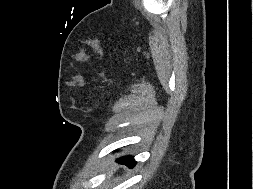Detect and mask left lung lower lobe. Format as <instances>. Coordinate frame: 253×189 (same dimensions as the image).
<instances>
[{"label":"left lung lower lobe","mask_w":253,"mask_h":189,"mask_svg":"<svg viewBox=\"0 0 253 189\" xmlns=\"http://www.w3.org/2000/svg\"><path fill=\"white\" fill-rule=\"evenodd\" d=\"M119 163L121 164H125L130 168H133L136 164L135 160L133 157L129 156V157H122L118 160Z\"/></svg>","instance_id":"0a47b994"}]
</instances>
